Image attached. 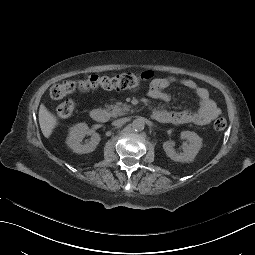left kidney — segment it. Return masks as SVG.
Returning <instances> with one entry per match:
<instances>
[{"label":"left kidney","mask_w":255,"mask_h":255,"mask_svg":"<svg viewBox=\"0 0 255 255\" xmlns=\"http://www.w3.org/2000/svg\"><path fill=\"white\" fill-rule=\"evenodd\" d=\"M181 138L186 139L182 145L183 153H176L173 148L175 143L173 141H166L163 144V148L168 157L174 161L190 162L193 161L202 146V139L191 131L181 132Z\"/></svg>","instance_id":"1"}]
</instances>
